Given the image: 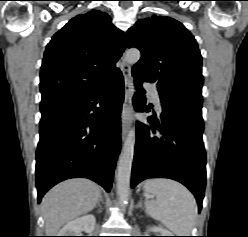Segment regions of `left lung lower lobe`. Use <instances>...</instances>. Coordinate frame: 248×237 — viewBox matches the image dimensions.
Here are the masks:
<instances>
[{
	"instance_id": "left-lung-lower-lobe-1",
	"label": "left lung lower lobe",
	"mask_w": 248,
	"mask_h": 237,
	"mask_svg": "<svg viewBox=\"0 0 248 237\" xmlns=\"http://www.w3.org/2000/svg\"><path fill=\"white\" fill-rule=\"evenodd\" d=\"M134 82L143 94L142 83ZM133 103L138 112L150 111L139 95ZM161 105V124L153 116L148 117L151 128L137 123L131 187L147 178L177 180L194 194L200 211L206 181L202 102L174 99L161 101Z\"/></svg>"
}]
</instances>
